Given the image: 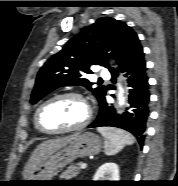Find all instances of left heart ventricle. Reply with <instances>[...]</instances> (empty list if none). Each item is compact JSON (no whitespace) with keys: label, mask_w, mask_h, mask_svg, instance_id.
<instances>
[{"label":"left heart ventricle","mask_w":178,"mask_h":186,"mask_svg":"<svg viewBox=\"0 0 178 186\" xmlns=\"http://www.w3.org/2000/svg\"><path fill=\"white\" fill-rule=\"evenodd\" d=\"M86 115L84 104L77 98L65 97L47 105L42 113L46 129L60 130L79 124Z\"/></svg>","instance_id":"obj_1"}]
</instances>
